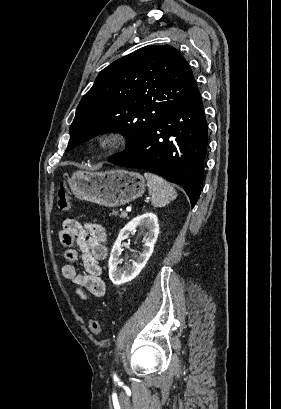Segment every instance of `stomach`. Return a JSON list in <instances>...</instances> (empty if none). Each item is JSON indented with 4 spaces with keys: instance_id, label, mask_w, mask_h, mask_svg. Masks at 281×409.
Segmentation results:
<instances>
[{
    "instance_id": "0dacf381",
    "label": "stomach",
    "mask_w": 281,
    "mask_h": 409,
    "mask_svg": "<svg viewBox=\"0 0 281 409\" xmlns=\"http://www.w3.org/2000/svg\"><path fill=\"white\" fill-rule=\"evenodd\" d=\"M68 182L76 198L97 202V205H103V207L126 205V202L142 196L145 190L142 174L129 172V170H105V172L76 170Z\"/></svg>"
}]
</instances>
